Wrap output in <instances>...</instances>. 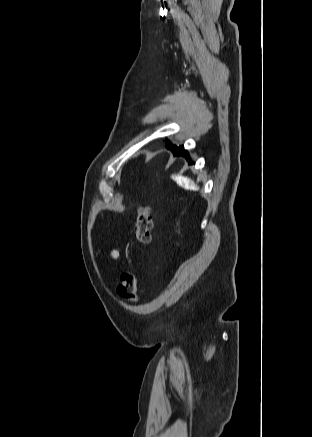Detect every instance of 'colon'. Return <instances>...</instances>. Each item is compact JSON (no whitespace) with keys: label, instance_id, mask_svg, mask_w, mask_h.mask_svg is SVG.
<instances>
[{"label":"colon","instance_id":"colon-1","mask_svg":"<svg viewBox=\"0 0 312 437\" xmlns=\"http://www.w3.org/2000/svg\"><path fill=\"white\" fill-rule=\"evenodd\" d=\"M152 226L151 208L147 205L140 207L136 220V239L140 244L146 245L150 243ZM137 285L138 278L136 274L131 270H125L120 275L116 292L120 298L136 302L138 300Z\"/></svg>","mask_w":312,"mask_h":437}]
</instances>
